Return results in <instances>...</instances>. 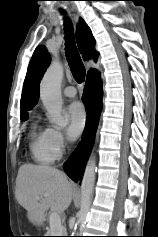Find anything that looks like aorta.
<instances>
[{"mask_svg":"<svg viewBox=\"0 0 158 237\" xmlns=\"http://www.w3.org/2000/svg\"><path fill=\"white\" fill-rule=\"evenodd\" d=\"M63 78V68L59 63L53 62L40 83V98L48 112L50 123L59 127L67 125V120L62 116L61 82ZM96 160L90 157L81 184V203L78 212V220L75 230L80 231L84 225L91 205L93 188L95 183Z\"/></svg>","mask_w":158,"mask_h":237,"instance_id":"1","label":"aorta"}]
</instances>
